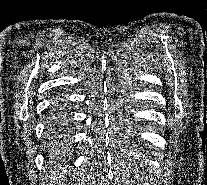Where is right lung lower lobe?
Masks as SVG:
<instances>
[{"instance_id":"1","label":"right lung lower lobe","mask_w":207,"mask_h":185,"mask_svg":"<svg viewBox=\"0 0 207 185\" xmlns=\"http://www.w3.org/2000/svg\"><path fill=\"white\" fill-rule=\"evenodd\" d=\"M68 117L63 111L56 110L49 119L51 146L61 148L65 145V134L68 126Z\"/></svg>"}]
</instances>
